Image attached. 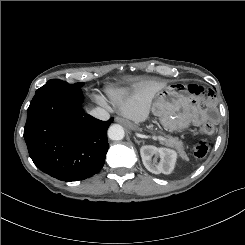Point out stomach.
Returning a JSON list of instances; mask_svg holds the SVG:
<instances>
[{
  "label": "stomach",
  "mask_w": 245,
  "mask_h": 245,
  "mask_svg": "<svg viewBox=\"0 0 245 245\" xmlns=\"http://www.w3.org/2000/svg\"><path fill=\"white\" fill-rule=\"evenodd\" d=\"M190 98L181 86L165 85L155 96L152 112L158 116L166 130L178 131L187 128L192 120ZM128 127L138 131L137 125L128 122Z\"/></svg>",
  "instance_id": "1"
}]
</instances>
